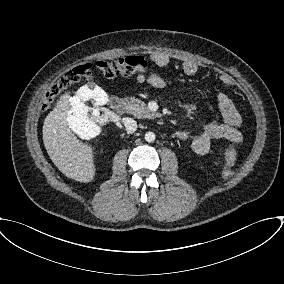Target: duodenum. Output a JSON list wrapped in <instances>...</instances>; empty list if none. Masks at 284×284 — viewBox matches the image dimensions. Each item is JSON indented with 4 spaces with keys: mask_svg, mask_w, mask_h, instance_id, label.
<instances>
[{
    "mask_svg": "<svg viewBox=\"0 0 284 284\" xmlns=\"http://www.w3.org/2000/svg\"><path fill=\"white\" fill-rule=\"evenodd\" d=\"M109 106L111 110L117 114H122L125 112V103L119 97H112L109 101Z\"/></svg>",
    "mask_w": 284,
    "mask_h": 284,
    "instance_id": "1",
    "label": "duodenum"
}]
</instances>
